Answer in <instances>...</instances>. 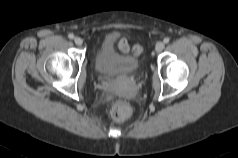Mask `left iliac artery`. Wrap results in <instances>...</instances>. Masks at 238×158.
<instances>
[{"label":"left iliac artery","instance_id":"obj_1","mask_svg":"<svg viewBox=\"0 0 238 158\" xmlns=\"http://www.w3.org/2000/svg\"><path fill=\"white\" fill-rule=\"evenodd\" d=\"M170 39L168 37L164 38V43H169Z\"/></svg>","mask_w":238,"mask_h":158}]
</instances>
